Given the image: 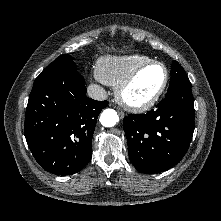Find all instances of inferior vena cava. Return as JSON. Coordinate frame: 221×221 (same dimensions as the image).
I'll return each instance as SVG.
<instances>
[{"label":"inferior vena cava","mask_w":221,"mask_h":221,"mask_svg":"<svg viewBox=\"0 0 221 221\" xmlns=\"http://www.w3.org/2000/svg\"><path fill=\"white\" fill-rule=\"evenodd\" d=\"M87 94L90 98L95 100H105L107 98V92L104 88L97 84H91L87 88Z\"/></svg>","instance_id":"inferior-vena-cava-1"}]
</instances>
